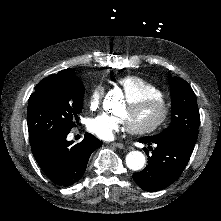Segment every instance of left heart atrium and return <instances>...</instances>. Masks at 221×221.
Masks as SVG:
<instances>
[{
  "instance_id": "39dd6f15",
  "label": "left heart atrium",
  "mask_w": 221,
  "mask_h": 221,
  "mask_svg": "<svg viewBox=\"0 0 221 221\" xmlns=\"http://www.w3.org/2000/svg\"><path fill=\"white\" fill-rule=\"evenodd\" d=\"M88 128L94 135L109 141L115 139L118 131L117 123L106 117L91 119Z\"/></svg>"
}]
</instances>
